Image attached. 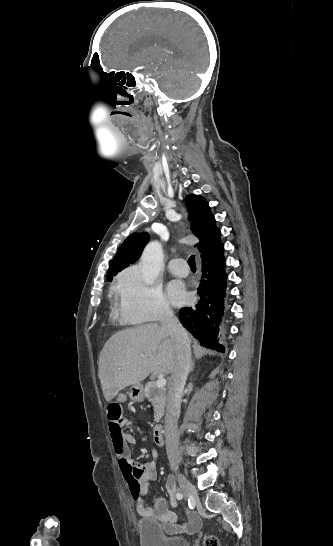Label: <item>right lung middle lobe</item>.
Here are the masks:
<instances>
[{
  "instance_id": "dd1d6c3e",
  "label": "right lung middle lobe",
  "mask_w": 333,
  "mask_h": 546,
  "mask_svg": "<svg viewBox=\"0 0 333 546\" xmlns=\"http://www.w3.org/2000/svg\"><path fill=\"white\" fill-rule=\"evenodd\" d=\"M113 274L116 275L117 272H116V273H115V272H112V273H110V274L107 275V280H108L109 282L112 281V279H113V276H112V275H113Z\"/></svg>"
}]
</instances>
